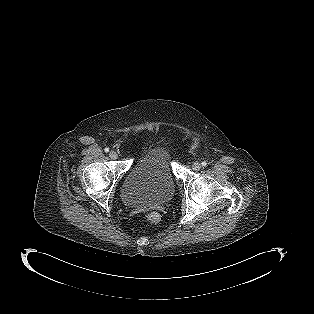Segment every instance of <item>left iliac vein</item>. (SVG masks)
I'll list each match as a JSON object with an SVG mask.
<instances>
[{
  "label": "left iliac vein",
  "mask_w": 314,
  "mask_h": 314,
  "mask_svg": "<svg viewBox=\"0 0 314 314\" xmlns=\"http://www.w3.org/2000/svg\"><path fill=\"white\" fill-rule=\"evenodd\" d=\"M192 168L196 171L200 170L201 169V164L199 162H194L192 164Z\"/></svg>",
  "instance_id": "left-iliac-vein-1"
}]
</instances>
